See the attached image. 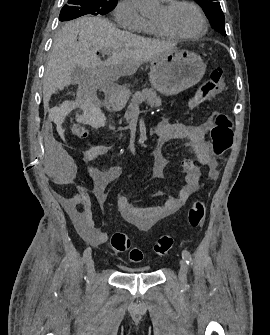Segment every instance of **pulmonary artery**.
<instances>
[{
  "mask_svg": "<svg viewBox=\"0 0 270 335\" xmlns=\"http://www.w3.org/2000/svg\"><path fill=\"white\" fill-rule=\"evenodd\" d=\"M164 3H170L172 2L173 0H162Z\"/></svg>",
  "mask_w": 270,
  "mask_h": 335,
  "instance_id": "obj_1",
  "label": "pulmonary artery"
}]
</instances>
